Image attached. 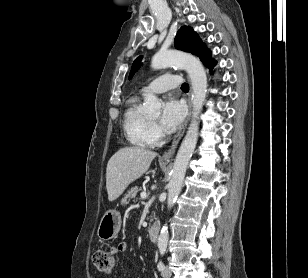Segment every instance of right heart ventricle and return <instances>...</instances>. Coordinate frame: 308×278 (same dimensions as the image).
<instances>
[{"instance_id": "obj_1", "label": "right heart ventricle", "mask_w": 308, "mask_h": 278, "mask_svg": "<svg viewBox=\"0 0 308 278\" xmlns=\"http://www.w3.org/2000/svg\"><path fill=\"white\" fill-rule=\"evenodd\" d=\"M140 100L138 97H131L126 104L123 116V127L130 143L138 147L151 145L149 130L151 122L140 111Z\"/></svg>"}]
</instances>
